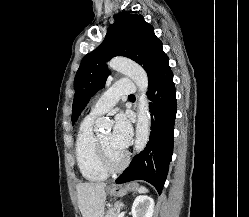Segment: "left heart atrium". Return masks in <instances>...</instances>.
Instances as JSON below:
<instances>
[{"instance_id":"1","label":"left heart atrium","mask_w":249,"mask_h":217,"mask_svg":"<svg viewBox=\"0 0 249 217\" xmlns=\"http://www.w3.org/2000/svg\"><path fill=\"white\" fill-rule=\"evenodd\" d=\"M131 127L125 115L119 114L115 118L113 131L110 135L111 145L123 151L129 144Z\"/></svg>"}]
</instances>
